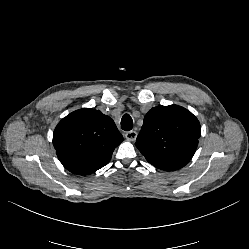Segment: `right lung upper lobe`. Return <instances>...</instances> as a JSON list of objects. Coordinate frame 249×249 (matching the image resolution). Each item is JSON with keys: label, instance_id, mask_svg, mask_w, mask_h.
Listing matches in <instances>:
<instances>
[{"label": "right lung upper lobe", "instance_id": "right-lung-upper-lobe-1", "mask_svg": "<svg viewBox=\"0 0 249 249\" xmlns=\"http://www.w3.org/2000/svg\"><path fill=\"white\" fill-rule=\"evenodd\" d=\"M123 141L114 121L101 111L83 108L63 118L53 134V145L63 166L78 175L105 166Z\"/></svg>", "mask_w": 249, "mask_h": 249}]
</instances>
